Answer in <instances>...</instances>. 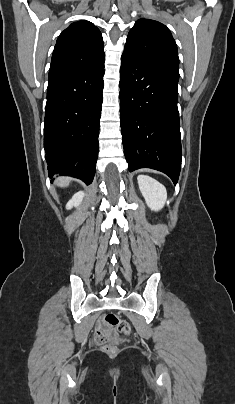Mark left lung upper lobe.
<instances>
[{"instance_id":"left-lung-upper-lobe-1","label":"left lung upper lobe","mask_w":235,"mask_h":404,"mask_svg":"<svg viewBox=\"0 0 235 404\" xmlns=\"http://www.w3.org/2000/svg\"><path fill=\"white\" fill-rule=\"evenodd\" d=\"M124 52L179 74L177 45L162 23L139 19L130 30Z\"/></svg>"}]
</instances>
